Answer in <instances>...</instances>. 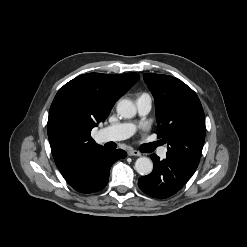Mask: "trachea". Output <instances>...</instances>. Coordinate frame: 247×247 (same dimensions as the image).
<instances>
[{
  "label": "trachea",
  "instance_id": "trachea-1",
  "mask_svg": "<svg viewBox=\"0 0 247 247\" xmlns=\"http://www.w3.org/2000/svg\"><path fill=\"white\" fill-rule=\"evenodd\" d=\"M159 143L155 142L150 145V149L153 150L156 146H158Z\"/></svg>",
  "mask_w": 247,
  "mask_h": 247
}]
</instances>
